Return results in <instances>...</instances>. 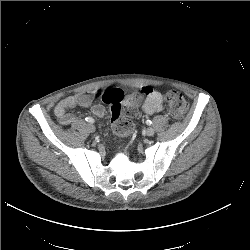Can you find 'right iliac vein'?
<instances>
[{
  "label": "right iliac vein",
  "instance_id": "right-iliac-vein-1",
  "mask_svg": "<svg viewBox=\"0 0 250 250\" xmlns=\"http://www.w3.org/2000/svg\"><path fill=\"white\" fill-rule=\"evenodd\" d=\"M88 130H89V132H91V133L95 132V126L92 125V124H88Z\"/></svg>",
  "mask_w": 250,
  "mask_h": 250
}]
</instances>
